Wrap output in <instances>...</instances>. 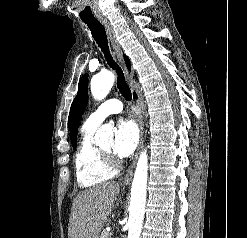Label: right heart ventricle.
Wrapping results in <instances>:
<instances>
[{"instance_id":"right-heart-ventricle-1","label":"right heart ventricle","mask_w":247,"mask_h":238,"mask_svg":"<svg viewBox=\"0 0 247 238\" xmlns=\"http://www.w3.org/2000/svg\"><path fill=\"white\" fill-rule=\"evenodd\" d=\"M95 130V127L83 126L75 155V176L81 188L100 185L115 175V170L106 163L100 149L93 143Z\"/></svg>"}]
</instances>
